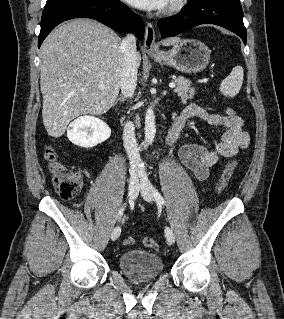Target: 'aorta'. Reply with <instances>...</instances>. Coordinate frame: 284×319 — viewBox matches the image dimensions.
Returning a JSON list of instances; mask_svg holds the SVG:
<instances>
[{"instance_id": "1", "label": "aorta", "mask_w": 284, "mask_h": 319, "mask_svg": "<svg viewBox=\"0 0 284 319\" xmlns=\"http://www.w3.org/2000/svg\"><path fill=\"white\" fill-rule=\"evenodd\" d=\"M156 134L155 115L152 106H149L145 115V142L151 145Z\"/></svg>"}]
</instances>
